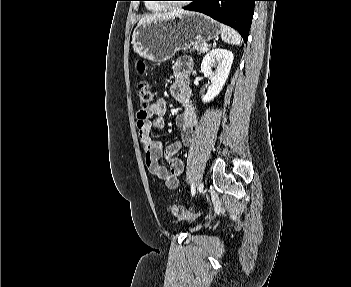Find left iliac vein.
Returning <instances> with one entry per match:
<instances>
[{
  "label": "left iliac vein",
  "instance_id": "4c4485c4",
  "mask_svg": "<svg viewBox=\"0 0 351 287\" xmlns=\"http://www.w3.org/2000/svg\"><path fill=\"white\" fill-rule=\"evenodd\" d=\"M203 188H204V184H203V183H200V184H199V187H198L199 193H202V192H203Z\"/></svg>",
  "mask_w": 351,
  "mask_h": 287
}]
</instances>
